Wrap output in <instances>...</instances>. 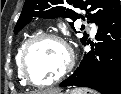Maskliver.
<instances>
[{
    "label": "liver",
    "mask_w": 121,
    "mask_h": 94,
    "mask_svg": "<svg viewBox=\"0 0 121 94\" xmlns=\"http://www.w3.org/2000/svg\"><path fill=\"white\" fill-rule=\"evenodd\" d=\"M33 94H56V91L54 90H48V91H41V92H34Z\"/></svg>",
    "instance_id": "1"
}]
</instances>
